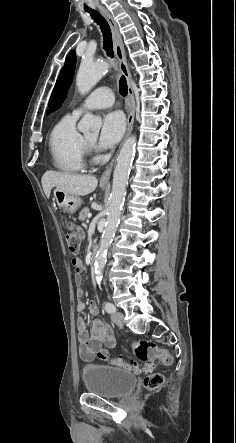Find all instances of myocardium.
I'll list each match as a JSON object with an SVG mask.
<instances>
[{
  "label": "myocardium",
  "instance_id": "obj_1",
  "mask_svg": "<svg viewBox=\"0 0 236 443\" xmlns=\"http://www.w3.org/2000/svg\"><path fill=\"white\" fill-rule=\"evenodd\" d=\"M83 142H84L85 151L90 150L92 147V142L87 140L85 137H83Z\"/></svg>",
  "mask_w": 236,
  "mask_h": 443
}]
</instances>
